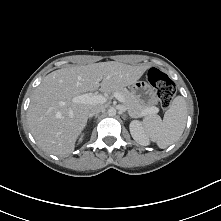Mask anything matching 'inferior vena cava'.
Segmentation results:
<instances>
[{
    "mask_svg": "<svg viewBox=\"0 0 221 221\" xmlns=\"http://www.w3.org/2000/svg\"><path fill=\"white\" fill-rule=\"evenodd\" d=\"M102 110H103V107H96L88 113V117L95 116V115L99 114Z\"/></svg>",
    "mask_w": 221,
    "mask_h": 221,
    "instance_id": "1",
    "label": "inferior vena cava"
}]
</instances>
